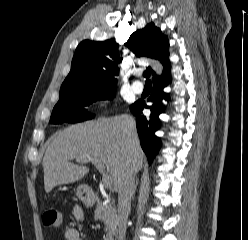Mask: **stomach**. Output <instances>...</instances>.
<instances>
[{
  "mask_svg": "<svg viewBox=\"0 0 248 240\" xmlns=\"http://www.w3.org/2000/svg\"><path fill=\"white\" fill-rule=\"evenodd\" d=\"M76 195L84 203H89L92 200L90 189L86 185L78 186Z\"/></svg>",
  "mask_w": 248,
  "mask_h": 240,
  "instance_id": "obj_1",
  "label": "stomach"
}]
</instances>
